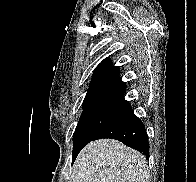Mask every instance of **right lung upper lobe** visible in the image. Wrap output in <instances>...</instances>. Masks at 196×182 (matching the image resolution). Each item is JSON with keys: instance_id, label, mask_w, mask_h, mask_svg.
Returning <instances> with one entry per match:
<instances>
[{"instance_id": "1", "label": "right lung upper lobe", "mask_w": 196, "mask_h": 182, "mask_svg": "<svg viewBox=\"0 0 196 182\" xmlns=\"http://www.w3.org/2000/svg\"><path fill=\"white\" fill-rule=\"evenodd\" d=\"M106 59L98 65L83 101V107L95 104L129 105L124 99L125 83L119 78V67Z\"/></svg>"}]
</instances>
